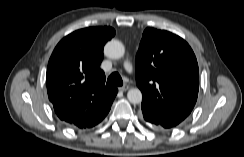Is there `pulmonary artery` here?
I'll return each mask as SVG.
<instances>
[{
  "mask_svg": "<svg viewBox=\"0 0 244 157\" xmlns=\"http://www.w3.org/2000/svg\"><path fill=\"white\" fill-rule=\"evenodd\" d=\"M125 66H126V68H127L128 70H130L131 67H130L129 63H126Z\"/></svg>",
  "mask_w": 244,
  "mask_h": 157,
  "instance_id": "obj_1",
  "label": "pulmonary artery"
}]
</instances>
